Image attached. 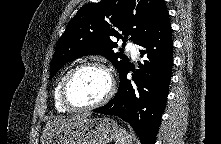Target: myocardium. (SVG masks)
I'll return each instance as SVG.
<instances>
[{
    "instance_id": "myocardium-1",
    "label": "myocardium",
    "mask_w": 221,
    "mask_h": 144,
    "mask_svg": "<svg viewBox=\"0 0 221 144\" xmlns=\"http://www.w3.org/2000/svg\"><path fill=\"white\" fill-rule=\"evenodd\" d=\"M85 68H98L102 70L109 79V88H108L107 93L97 102L89 104V105L80 106V105H75L74 103L70 101L68 97V88L72 79L75 77V75ZM114 92H115V80L111 71L108 69V67L105 66L101 62L87 61V62H83L77 65L76 67H74L68 72V74L65 76V78L63 79L61 83L59 97H60V102L62 106L66 108L68 111L80 112V111L91 110V109H94V108H97L106 104L113 97Z\"/></svg>"
}]
</instances>
